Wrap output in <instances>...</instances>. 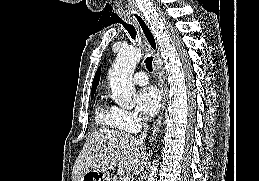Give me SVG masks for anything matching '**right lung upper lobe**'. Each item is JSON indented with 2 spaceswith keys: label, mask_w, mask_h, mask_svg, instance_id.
Returning a JSON list of instances; mask_svg holds the SVG:
<instances>
[{
  "label": "right lung upper lobe",
  "mask_w": 259,
  "mask_h": 181,
  "mask_svg": "<svg viewBox=\"0 0 259 181\" xmlns=\"http://www.w3.org/2000/svg\"><path fill=\"white\" fill-rule=\"evenodd\" d=\"M100 69H101V66L98 68V70L96 71V74H95V77H94V80H93V83H92V89H91V96L94 95L95 91H96V88L99 84V79H100Z\"/></svg>",
  "instance_id": "cb5924a9"
}]
</instances>
